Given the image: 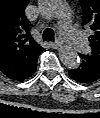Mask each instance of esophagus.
<instances>
[{
  "instance_id": "1",
  "label": "esophagus",
  "mask_w": 100,
  "mask_h": 118,
  "mask_svg": "<svg viewBox=\"0 0 100 118\" xmlns=\"http://www.w3.org/2000/svg\"><path fill=\"white\" fill-rule=\"evenodd\" d=\"M50 46L54 49H57L61 46V42L58 39H56L54 42L50 43Z\"/></svg>"
}]
</instances>
